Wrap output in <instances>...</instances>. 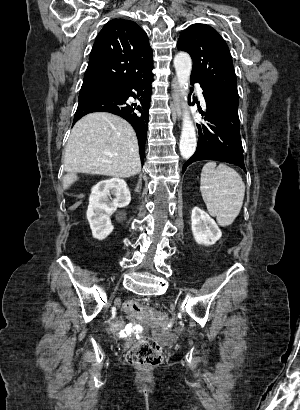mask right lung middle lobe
I'll list each match as a JSON object with an SVG mask.
<instances>
[{"label": "right lung middle lobe", "mask_w": 300, "mask_h": 410, "mask_svg": "<svg viewBox=\"0 0 300 410\" xmlns=\"http://www.w3.org/2000/svg\"><path fill=\"white\" fill-rule=\"evenodd\" d=\"M116 88L114 86L102 82H83L80 90L79 99L91 96L97 93L112 92Z\"/></svg>", "instance_id": "dd1d6c3e"}]
</instances>
